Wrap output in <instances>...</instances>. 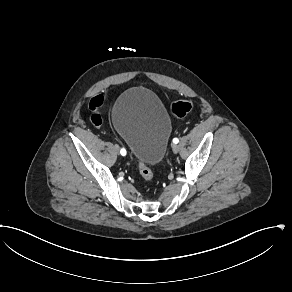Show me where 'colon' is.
I'll return each mask as SVG.
<instances>
[{"label":"colon","instance_id":"1","mask_svg":"<svg viewBox=\"0 0 292 292\" xmlns=\"http://www.w3.org/2000/svg\"><path fill=\"white\" fill-rule=\"evenodd\" d=\"M105 100L103 93L98 92L95 94L92 101L89 102L88 107L90 110L95 111L98 109L99 105L102 104ZM192 109V103L188 100H176L170 103L169 110L173 116L183 117ZM90 121L96 127H99L101 124V118L98 114L93 113L90 116ZM137 165L139 168V173L145 182H152L153 172L150 166L144 160H138Z\"/></svg>","mask_w":292,"mask_h":292}]
</instances>
